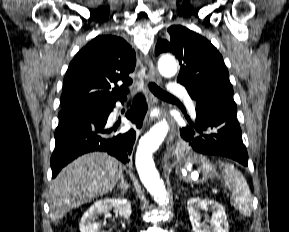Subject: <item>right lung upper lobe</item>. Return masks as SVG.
<instances>
[{"label":"right lung upper lobe","mask_w":289,"mask_h":232,"mask_svg":"<svg viewBox=\"0 0 289 232\" xmlns=\"http://www.w3.org/2000/svg\"><path fill=\"white\" fill-rule=\"evenodd\" d=\"M136 65L131 46L121 37L101 35L90 41L71 61L63 82L61 111L104 108L124 102L128 77ZM123 85L118 86L117 82Z\"/></svg>","instance_id":"right-lung-upper-lobe-1"}]
</instances>
